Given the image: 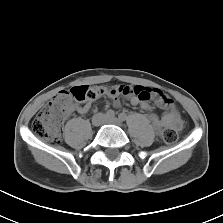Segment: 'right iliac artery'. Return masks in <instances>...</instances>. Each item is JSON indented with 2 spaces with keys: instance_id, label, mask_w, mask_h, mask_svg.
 Returning a JSON list of instances; mask_svg holds the SVG:
<instances>
[{
  "instance_id": "obj_1",
  "label": "right iliac artery",
  "mask_w": 223,
  "mask_h": 223,
  "mask_svg": "<svg viewBox=\"0 0 223 223\" xmlns=\"http://www.w3.org/2000/svg\"><path fill=\"white\" fill-rule=\"evenodd\" d=\"M106 116H107L108 118H113V117L115 116V113H114L113 110H108V111L106 112Z\"/></svg>"
}]
</instances>
